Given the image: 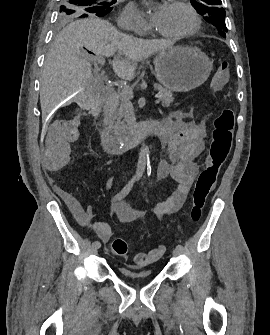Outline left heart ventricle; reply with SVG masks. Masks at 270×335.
<instances>
[{"label": "left heart ventricle", "mask_w": 270, "mask_h": 335, "mask_svg": "<svg viewBox=\"0 0 270 335\" xmlns=\"http://www.w3.org/2000/svg\"><path fill=\"white\" fill-rule=\"evenodd\" d=\"M193 26V18L185 8L172 7L167 16L163 32L174 35L183 33Z\"/></svg>", "instance_id": "b2bd125f"}]
</instances>
